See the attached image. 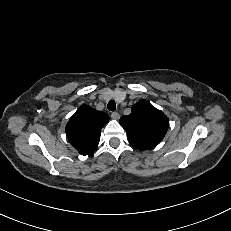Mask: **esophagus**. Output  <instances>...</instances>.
<instances>
[{
	"mask_svg": "<svg viewBox=\"0 0 231 231\" xmlns=\"http://www.w3.org/2000/svg\"><path fill=\"white\" fill-rule=\"evenodd\" d=\"M111 118L115 119V120H118L120 118V115H119L118 112H112L111 113Z\"/></svg>",
	"mask_w": 231,
	"mask_h": 231,
	"instance_id": "obj_1",
	"label": "esophagus"
}]
</instances>
